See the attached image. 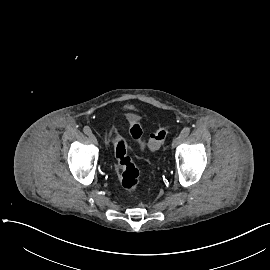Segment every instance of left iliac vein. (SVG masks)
<instances>
[{"mask_svg": "<svg viewBox=\"0 0 270 270\" xmlns=\"http://www.w3.org/2000/svg\"><path fill=\"white\" fill-rule=\"evenodd\" d=\"M183 139L184 138L181 135L176 137L172 142V148H175L177 145H179L183 141Z\"/></svg>", "mask_w": 270, "mask_h": 270, "instance_id": "1", "label": "left iliac vein"}]
</instances>
